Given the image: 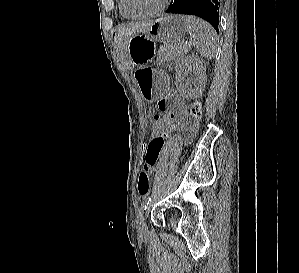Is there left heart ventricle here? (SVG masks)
Segmentation results:
<instances>
[{"label": "left heart ventricle", "mask_w": 299, "mask_h": 273, "mask_svg": "<svg viewBox=\"0 0 299 273\" xmlns=\"http://www.w3.org/2000/svg\"><path fill=\"white\" fill-rule=\"evenodd\" d=\"M163 0H126L127 8L133 13H145L157 8Z\"/></svg>", "instance_id": "b2bd125f"}]
</instances>
